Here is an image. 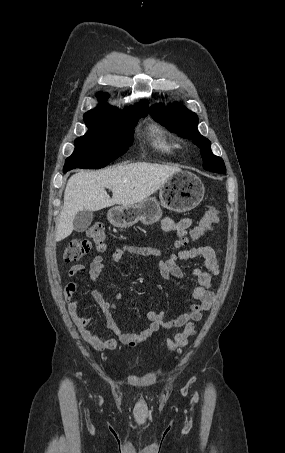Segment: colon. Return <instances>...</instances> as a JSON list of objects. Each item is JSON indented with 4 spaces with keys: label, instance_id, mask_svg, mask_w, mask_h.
Returning <instances> with one entry per match:
<instances>
[{
    "label": "colon",
    "instance_id": "colon-1",
    "mask_svg": "<svg viewBox=\"0 0 285 453\" xmlns=\"http://www.w3.org/2000/svg\"><path fill=\"white\" fill-rule=\"evenodd\" d=\"M219 220V211L210 207L206 209L203 217L198 224L191 230L189 240H199L208 231H210L214 224ZM106 232L104 225L100 222H95L89 226L86 231V237L71 240L64 249L63 258L66 262H75L82 259L87 255L92 246L95 245L99 251L105 249ZM186 245L187 242H181ZM195 334V326L192 323L186 325L185 329L176 334L171 340H168L167 346L170 350H176L186 346L188 339Z\"/></svg>",
    "mask_w": 285,
    "mask_h": 453
}]
</instances>
